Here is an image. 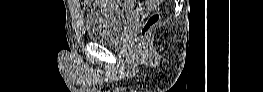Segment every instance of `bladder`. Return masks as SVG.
Returning a JSON list of instances; mask_svg holds the SVG:
<instances>
[{
  "instance_id": "31cf9c89",
  "label": "bladder",
  "mask_w": 263,
  "mask_h": 92,
  "mask_svg": "<svg viewBox=\"0 0 263 92\" xmlns=\"http://www.w3.org/2000/svg\"><path fill=\"white\" fill-rule=\"evenodd\" d=\"M113 4L114 1H108ZM137 12L116 6L98 7L85 19V28L91 41L112 45L133 27Z\"/></svg>"
}]
</instances>
